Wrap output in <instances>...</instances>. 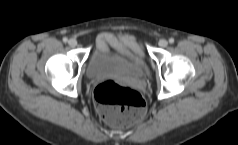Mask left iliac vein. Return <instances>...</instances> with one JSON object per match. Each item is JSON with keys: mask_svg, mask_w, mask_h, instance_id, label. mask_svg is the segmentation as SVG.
Segmentation results:
<instances>
[{"mask_svg": "<svg viewBox=\"0 0 238 145\" xmlns=\"http://www.w3.org/2000/svg\"><path fill=\"white\" fill-rule=\"evenodd\" d=\"M167 45H168V41H167V40L161 39V40L159 41V46H160V47L165 48V47H167Z\"/></svg>", "mask_w": 238, "mask_h": 145, "instance_id": "obj_1", "label": "left iliac vein"}]
</instances>
